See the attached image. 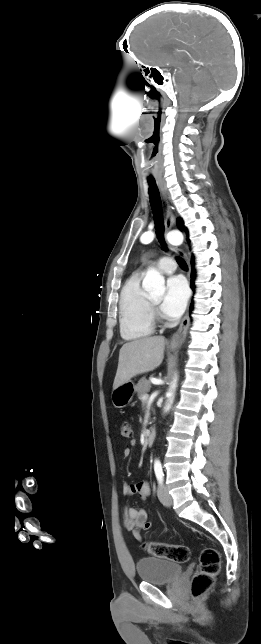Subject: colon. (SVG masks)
Segmentation results:
<instances>
[{
  "mask_svg": "<svg viewBox=\"0 0 261 644\" xmlns=\"http://www.w3.org/2000/svg\"><path fill=\"white\" fill-rule=\"evenodd\" d=\"M121 436L126 439L133 437V429L128 421L121 424ZM145 550L154 557L170 560L177 563L189 561L191 552L185 545L167 544L161 542H147ZM220 569V554L212 547L202 550L199 559V569L191 580V595L199 599L214 585L215 578Z\"/></svg>",
  "mask_w": 261,
  "mask_h": 644,
  "instance_id": "1",
  "label": "colon"
}]
</instances>
